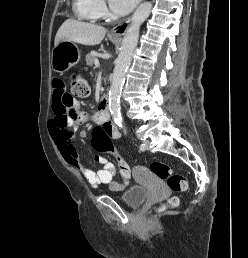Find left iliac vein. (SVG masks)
<instances>
[{"mask_svg":"<svg viewBox=\"0 0 248 258\" xmlns=\"http://www.w3.org/2000/svg\"><path fill=\"white\" fill-rule=\"evenodd\" d=\"M143 144H144V150H148L149 144H150L149 140H144Z\"/></svg>","mask_w":248,"mask_h":258,"instance_id":"obj_1","label":"left iliac vein"}]
</instances>
